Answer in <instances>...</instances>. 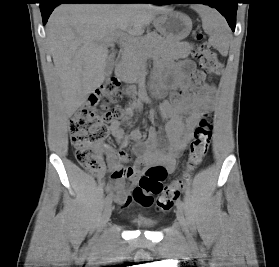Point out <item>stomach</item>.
I'll use <instances>...</instances> for the list:
<instances>
[{"label":"stomach","instance_id":"stomach-1","mask_svg":"<svg viewBox=\"0 0 279 267\" xmlns=\"http://www.w3.org/2000/svg\"><path fill=\"white\" fill-rule=\"evenodd\" d=\"M153 23L162 36L172 41L185 39L192 29L191 19L186 14L172 9L160 13L154 18Z\"/></svg>","mask_w":279,"mask_h":267}]
</instances>
